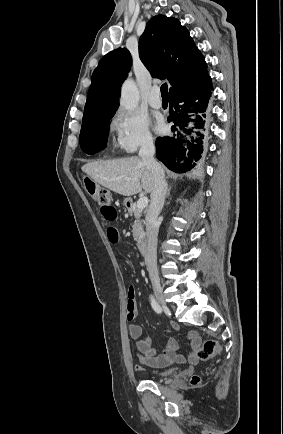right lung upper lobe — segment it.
Instances as JSON below:
<instances>
[{"instance_id": "right-lung-upper-lobe-1", "label": "right lung upper lobe", "mask_w": 283, "mask_h": 434, "mask_svg": "<svg viewBox=\"0 0 283 434\" xmlns=\"http://www.w3.org/2000/svg\"><path fill=\"white\" fill-rule=\"evenodd\" d=\"M139 56L153 77L169 81V94L191 89L208 77L204 56L188 30L173 17L157 15L148 21L140 37ZM131 66L132 57L126 48L115 49L101 58L92 74L82 127L114 114L121 83Z\"/></svg>"}]
</instances>
